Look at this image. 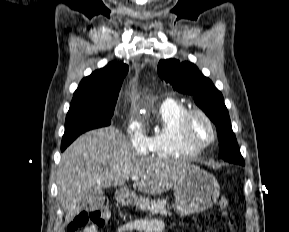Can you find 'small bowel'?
Here are the masks:
<instances>
[{
	"mask_svg": "<svg viewBox=\"0 0 289 232\" xmlns=\"http://www.w3.org/2000/svg\"><path fill=\"white\" fill-rule=\"evenodd\" d=\"M165 232V225L160 220H151L146 223L143 222H129L121 225L118 232ZM82 232H99L97 226L89 225L83 229Z\"/></svg>",
	"mask_w": 289,
	"mask_h": 232,
	"instance_id": "small-bowel-1",
	"label": "small bowel"
}]
</instances>
